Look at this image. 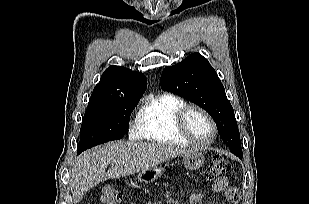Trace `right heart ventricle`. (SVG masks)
<instances>
[{"instance_id":"right-heart-ventricle-1","label":"right heart ventricle","mask_w":309,"mask_h":204,"mask_svg":"<svg viewBox=\"0 0 309 204\" xmlns=\"http://www.w3.org/2000/svg\"><path fill=\"white\" fill-rule=\"evenodd\" d=\"M186 102L174 94H161L146 100L138 112V135L153 143L188 145L176 127V116Z\"/></svg>"}]
</instances>
